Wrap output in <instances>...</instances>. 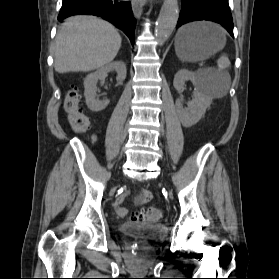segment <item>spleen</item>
Listing matches in <instances>:
<instances>
[{
  "label": "spleen",
  "mask_w": 279,
  "mask_h": 279,
  "mask_svg": "<svg viewBox=\"0 0 279 279\" xmlns=\"http://www.w3.org/2000/svg\"><path fill=\"white\" fill-rule=\"evenodd\" d=\"M217 65L223 79L208 83L205 87V91L211 97L220 98L225 96L230 88V76L224 71L230 66V61L223 55L217 60Z\"/></svg>",
  "instance_id": "3e777b00"
}]
</instances>
